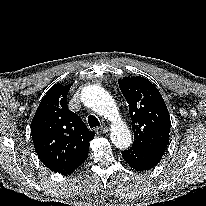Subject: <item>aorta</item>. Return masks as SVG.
I'll return each mask as SVG.
<instances>
[{"mask_svg": "<svg viewBox=\"0 0 206 206\" xmlns=\"http://www.w3.org/2000/svg\"><path fill=\"white\" fill-rule=\"evenodd\" d=\"M82 99L92 110L111 122L110 138L112 143L120 148L131 144V133L119 114L112 96L100 86H89L83 91Z\"/></svg>", "mask_w": 206, "mask_h": 206, "instance_id": "762f6f07", "label": "aorta"}]
</instances>
